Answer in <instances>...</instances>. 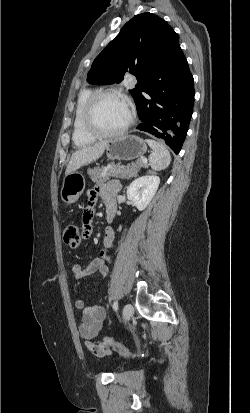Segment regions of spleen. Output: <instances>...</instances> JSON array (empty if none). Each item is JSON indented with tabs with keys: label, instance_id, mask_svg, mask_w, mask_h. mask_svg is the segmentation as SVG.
Masks as SVG:
<instances>
[{
	"label": "spleen",
	"instance_id": "spleen-1",
	"mask_svg": "<svg viewBox=\"0 0 250 413\" xmlns=\"http://www.w3.org/2000/svg\"><path fill=\"white\" fill-rule=\"evenodd\" d=\"M146 142L152 150L149 155L152 170L160 171L167 168L171 162V155L165 145L150 139H147Z\"/></svg>",
	"mask_w": 250,
	"mask_h": 413
}]
</instances>
